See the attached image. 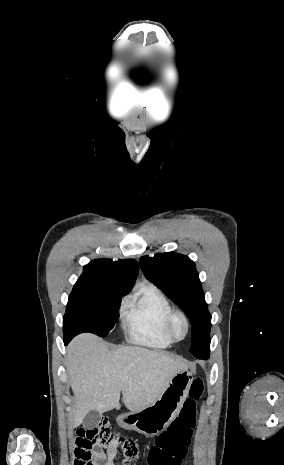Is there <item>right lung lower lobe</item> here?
Wrapping results in <instances>:
<instances>
[{"label": "right lung lower lobe", "instance_id": "1", "mask_svg": "<svg viewBox=\"0 0 284 465\" xmlns=\"http://www.w3.org/2000/svg\"><path fill=\"white\" fill-rule=\"evenodd\" d=\"M72 338H64V344L67 345L70 341H71Z\"/></svg>", "mask_w": 284, "mask_h": 465}]
</instances>
